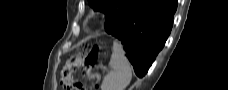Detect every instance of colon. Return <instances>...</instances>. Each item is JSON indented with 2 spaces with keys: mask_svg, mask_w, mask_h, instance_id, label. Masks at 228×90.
<instances>
[{
  "mask_svg": "<svg viewBox=\"0 0 228 90\" xmlns=\"http://www.w3.org/2000/svg\"><path fill=\"white\" fill-rule=\"evenodd\" d=\"M98 47L95 45L88 50L81 51L72 56L61 71V79L66 90H85L82 83L75 81L72 72L75 67L82 66L85 74L89 75L97 65Z\"/></svg>",
  "mask_w": 228,
  "mask_h": 90,
  "instance_id": "5ec220e1",
  "label": "colon"
}]
</instances>
